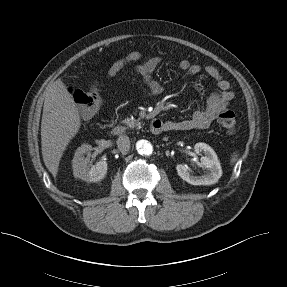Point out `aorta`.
<instances>
[{"instance_id": "aorta-1", "label": "aorta", "mask_w": 287, "mask_h": 287, "mask_svg": "<svg viewBox=\"0 0 287 287\" xmlns=\"http://www.w3.org/2000/svg\"><path fill=\"white\" fill-rule=\"evenodd\" d=\"M136 150L140 155L149 156L153 153V146L148 140L141 139L136 142Z\"/></svg>"}]
</instances>
